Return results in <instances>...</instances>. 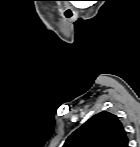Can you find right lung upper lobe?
Segmentation results:
<instances>
[{
	"label": "right lung upper lobe",
	"mask_w": 140,
	"mask_h": 147,
	"mask_svg": "<svg viewBox=\"0 0 140 147\" xmlns=\"http://www.w3.org/2000/svg\"><path fill=\"white\" fill-rule=\"evenodd\" d=\"M63 147H128V138L118 117L104 111L74 131Z\"/></svg>",
	"instance_id": "right-lung-upper-lobe-1"
}]
</instances>
